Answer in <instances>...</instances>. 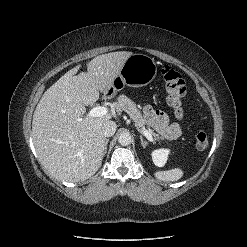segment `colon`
<instances>
[{
    "label": "colon",
    "mask_w": 247,
    "mask_h": 247,
    "mask_svg": "<svg viewBox=\"0 0 247 247\" xmlns=\"http://www.w3.org/2000/svg\"><path fill=\"white\" fill-rule=\"evenodd\" d=\"M165 82V93L167 103L174 109L178 118L183 116V100L186 94V83L183 76L174 69L165 66L162 69ZM209 140L206 132L200 130L195 136V145L198 150L208 147Z\"/></svg>",
    "instance_id": "1"
}]
</instances>
